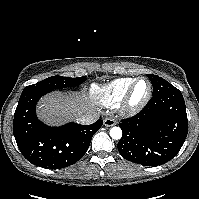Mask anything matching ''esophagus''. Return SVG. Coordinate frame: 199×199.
I'll return each mask as SVG.
<instances>
[{
	"label": "esophagus",
	"instance_id": "1",
	"mask_svg": "<svg viewBox=\"0 0 199 199\" xmlns=\"http://www.w3.org/2000/svg\"><path fill=\"white\" fill-rule=\"evenodd\" d=\"M117 124V121L113 118V117H107L105 120H104V125L106 127H111V126H114Z\"/></svg>",
	"mask_w": 199,
	"mask_h": 199
}]
</instances>
